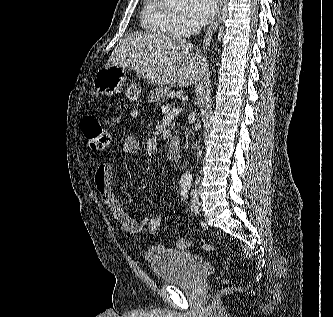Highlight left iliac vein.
<instances>
[{
    "mask_svg": "<svg viewBox=\"0 0 333 317\" xmlns=\"http://www.w3.org/2000/svg\"><path fill=\"white\" fill-rule=\"evenodd\" d=\"M199 206H200L199 198L196 193H193V195L191 197L190 208L194 213H199V211H200Z\"/></svg>",
    "mask_w": 333,
    "mask_h": 317,
    "instance_id": "left-iliac-vein-1",
    "label": "left iliac vein"
}]
</instances>
